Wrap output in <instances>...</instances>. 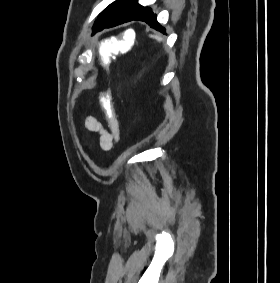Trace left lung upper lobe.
<instances>
[{
  "label": "left lung upper lobe",
  "instance_id": "1",
  "mask_svg": "<svg viewBox=\"0 0 280 283\" xmlns=\"http://www.w3.org/2000/svg\"><path fill=\"white\" fill-rule=\"evenodd\" d=\"M141 8L142 6L137 3V0H120L113 2L99 14L92 29L95 32L100 25L112 19L119 17L129 18L135 15Z\"/></svg>",
  "mask_w": 280,
  "mask_h": 283
}]
</instances>
